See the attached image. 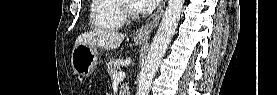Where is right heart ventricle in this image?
I'll return each mask as SVG.
<instances>
[{
    "label": "right heart ventricle",
    "mask_w": 277,
    "mask_h": 95,
    "mask_svg": "<svg viewBox=\"0 0 277 95\" xmlns=\"http://www.w3.org/2000/svg\"><path fill=\"white\" fill-rule=\"evenodd\" d=\"M119 0H92L90 26L99 30H114L124 24L118 10Z\"/></svg>",
    "instance_id": "1"
}]
</instances>
